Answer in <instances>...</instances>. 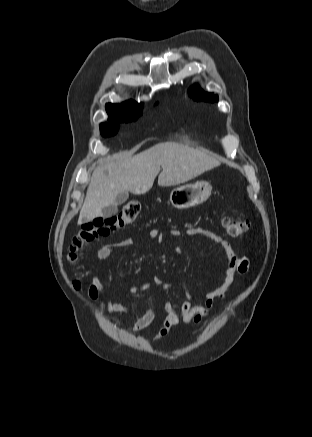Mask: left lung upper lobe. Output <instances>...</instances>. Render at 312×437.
<instances>
[{
    "label": "left lung upper lobe",
    "mask_w": 312,
    "mask_h": 437,
    "mask_svg": "<svg viewBox=\"0 0 312 437\" xmlns=\"http://www.w3.org/2000/svg\"><path fill=\"white\" fill-rule=\"evenodd\" d=\"M190 96L196 101L218 102V96L211 93H204L200 89L194 88L190 90Z\"/></svg>",
    "instance_id": "1"
}]
</instances>
